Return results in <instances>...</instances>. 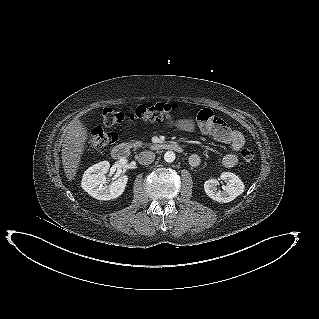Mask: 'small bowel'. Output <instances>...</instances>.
<instances>
[{
	"label": "small bowel",
	"mask_w": 319,
	"mask_h": 319,
	"mask_svg": "<svg viewBox=\"0 0 319 319\" xmlns=\"http://www.w3.org/2000/svg\"><path fill=\"white\" fill-rule=\"evenodd\" d=\"M199 114L202 117H199ZM199 114L197 122L184 119L174 122L173 125L186 132H192L199 128L203 133L212 136L218 142L228 145L232 152L223 157L222 165L226 168L234 167L238 163L237 152L245 145L243 134L238 130L232 129L209 109H203ZM189 163L192 167H198L201 163V157L198 154H192L189 158Z\"/></svg>",
	"instance_id": "1"
}]
</instances>
